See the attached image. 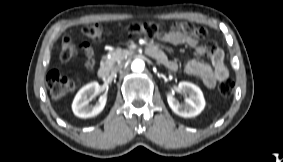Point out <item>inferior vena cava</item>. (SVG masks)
Segmentation results:
<instances>
[{
  "label": "inferior vena cava",
  "instance_id": "1",
  "mask_svg": "<svg viewBox=\"0 0 283 162\" xmlns=\"http://www.w3.org/2000/svg\"><path fill=\"white\" fill-rule=\"evenodd\" d=\"M120 69H121V66H117V67L112 69L111 73L116 74V72H118Z\"/></svg>",
  "mask_w": 283,
  "mask_h": 162
}]
</instances>
